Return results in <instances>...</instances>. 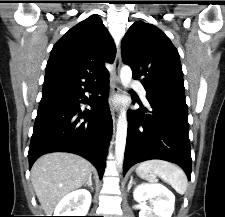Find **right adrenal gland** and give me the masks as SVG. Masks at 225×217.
Returning <instances> with one entry per match:
<instances>
[{
  "instance_id": "obj_1",
  "label": "right adrenal gland",
  "mask_w": 225,
  "mask_h": 217,
  "mask_svg": "<svg viewBox=\"0 0 225 217\" xmlns=\"http://www.w3.org/2000/svg\"><path fill=\"white\" fill-rule=\"evenodd\" d=\"M84 186H89L92 190V174H90L88 181L84 184Z\"/></svg>"
}]
</instances>
